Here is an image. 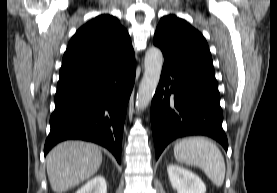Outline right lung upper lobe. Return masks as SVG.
<instances>
[{
    "label": "right lung upper lobe",
    "instance_id": "cb5924a9",
    "mask_svg": "<svg viewBox=\"0 0 277 193\" xmlns=\"http://www.w3.org/2000/svg\"><path fill=\"white\" fill-rule=\"evenodd\" d=\"M133 56L130 36L118 19L99 15L83 25L70 40L59 81L106 70Z\"/></svg>",
    "mask_w": 277,
    "mask_h": 193
}]
</instances>
